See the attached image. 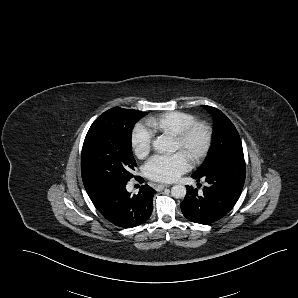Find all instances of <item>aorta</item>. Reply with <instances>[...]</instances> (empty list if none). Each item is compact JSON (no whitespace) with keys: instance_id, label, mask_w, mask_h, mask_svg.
<instances>
[{"instance_id":"aorta-1","label":"aorta","mask_w":298,"mask_h":298,"mask_svg":"<svg viewBox=\"0 0 298 298\" xmlns=\"http://www.w3.org/2000/svg\"><path fill=\"white\" fill-rule=\"evenodd\" d=\"M152 147L160 154L175 153L178 149L177 141L167 135H160L154 141H152ZM187 189L184 185L176 184L171 187V195L176 199H182L186 196Z\"/></svg>"}]
</instances>
